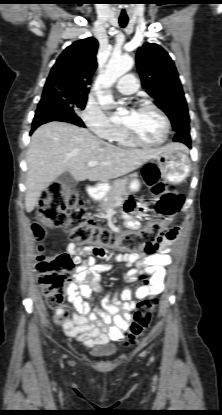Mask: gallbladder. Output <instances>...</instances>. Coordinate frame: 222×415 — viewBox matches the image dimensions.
<instances>
[{
    "label": "gallbladder",
    "instance_id": "1",
    "mask_svg": "<svg viewBox=\"0 0 222 415\" xmlns=\"http://www.w3.org/2000/svg\"><path fill=\"white\" fill-rule=\"evenodd\" d=\"M57 182L62 186L69 188L75 187L78 183V181L69 172H64L58 176Z\"/></svg>",
    "mask_w": 222,
    "mask_h": 415
}]
</instances>
